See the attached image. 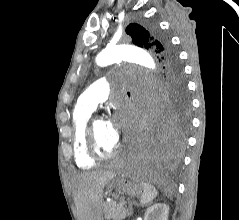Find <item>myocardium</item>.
I'll return each mask as SVG.
<instances>
[{"mask_svg":"<svg viewBox=\"0 0 239 220\" xmlns=\"http://www.w3.org/2000/svg\"><path fill=\"white\" fill-rule=\"evenodd\" d=\"M98 119L100 118L92 117L88 120L87 127H86V135H85L86 149L90 157H92L94 160H107V159L115 157L121 150L122 145L120 143H117L116 147L109 152L100 151L96 141L95 132H94V123Z\"/></svg>","mask_w":239,"mask_h":220,"instance_id":"obj_1","label":"myocardium"}]
</instances>
